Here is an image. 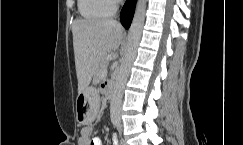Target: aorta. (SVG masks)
<instances>
[{
    "label": "aorta",
    "mask_w": 243,
    "mask_h": 145,
    "mask_svg": "<svg viewBox=\"0 0 243 145\" xmlns=\"http://www.w3.org/2000/svg\"><path fill=\"white\" fill-rule=\"evenodd\" d=\"M147 0H139L136 5L135 14L129 29L127 45L121 65L116 77V82L110 103L111 119L115 122L120 121V111L125 85L127 83L130 69L136 58L138 45L141 40L142 30L145 22Z\"/></svg>",
    "instance_id": "762f6f07"
}]
</instances>
